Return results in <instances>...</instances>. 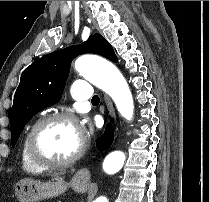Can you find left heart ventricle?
Returning <instances> with one entry per match:
<instances>
[{
  "label": "left heart ventricle",
  "instance_id": "b2bd125f",
  "mask_svg": "<svg viewBox=\"0 0 209 202\" xmlns=\"http://www.w3.org/2000/svg\"><path fill=\"white\" fill-rule=\"evenodd\" d=\"M81 135L78 127L67 121H54L43 126L35 137V150L48 161H62L78 149Z\"/></svg>",
  "mask_w": 209,
  "mask_h": 202
}]
</instances>
